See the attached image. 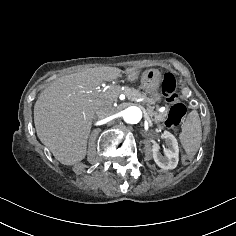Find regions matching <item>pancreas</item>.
<instances>
[{"mask_svg": "<svg viewBox=\"0 0 236 236\" xmlns=\"http://www.w3.org/2000/svg\"><path fill=\"white\" fill-rule=\"evenodd\" d=\"M115 93L116 94H124L129 100H136L139 98H146V95L143 93H140L138 90L134 89V88H129V87H125L124 90H122L120 88V86H115L114 87ZM154 106H150L148 104V108H147V113L149 114V116L154 117V118H160L162 120H165V117L167 116V112H161L158 113L157 111L154 110ZM156 108H158V106H156Z\"/></svg>", "mask_w": 236, "mask_h": 236, "instance_id": "1", "label": "pancreas"}]
</instances>
